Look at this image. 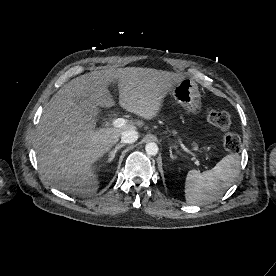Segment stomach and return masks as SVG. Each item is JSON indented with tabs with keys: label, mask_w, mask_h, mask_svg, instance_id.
Wrapping results in <instances>:
<instances>
[{
	"label": "stomach",
	"mask_w": 276,
	"mask_h": 276,
	"mask_svg": "<svg viewBox=\"0 0 276 276\" xmlns=\"http://www.w3.org/2000/svg\"><path fill=\"white\" fill-rule=\"evenodd\" d=\"M171 95L188 114H197L201 111L202 101L198 85L190 78H183L171 90Z\"/></svg>",
	"instance_id": "1"
}]
</instances>
